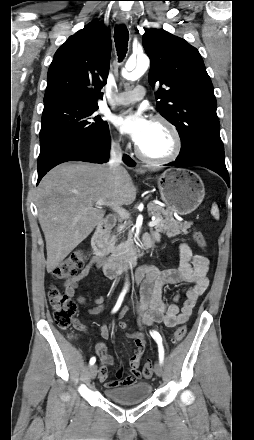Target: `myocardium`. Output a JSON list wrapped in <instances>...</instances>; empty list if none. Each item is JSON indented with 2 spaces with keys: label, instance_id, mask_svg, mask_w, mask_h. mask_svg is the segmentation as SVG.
Instances as JSON below:
<instances>
[{
  "label": "myocardium",
  "instance_id": "myocardium-1",
  "mask_svg": "<svg viewBox=\"0 0 254 440\" xmlns=\"http://www.w3.org/2000/svg\"><path fill=\"white\" fill-rule=\"evenodd\" d=\"M152 121L155 123L163 124L169 129V131L171 132V134L174 138V148H173L172 152L165 157H152V156L145 155L139 149V147L136 146V148H135L136 155L141 160L148 162V163H153V164H167V163L175 161L179 157V155L181 154V151L183 148V141H182V137H181L179 130L177 129L175 124L166 117L155 116L152 119Z\"/></svg>",
  "mask_w": 254,
  "mask_h": 440
}]
</instances>
